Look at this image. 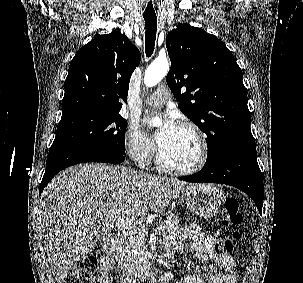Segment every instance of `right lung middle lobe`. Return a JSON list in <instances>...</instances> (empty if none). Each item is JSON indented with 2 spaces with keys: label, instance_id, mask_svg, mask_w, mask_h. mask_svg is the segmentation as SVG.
I'll list each match as a JSON object with an SVG mask.
<instances>
[{
  "label": "right lung middle lobe",
  "instance_id": "dd1d6c3e",
  "mask_svg": "<svg viewBox=\"0 0 303 283\" xmlns=\"http://www.w3.org/2000/svg\"><path fill=\"white\" fill-rule=\"evenodd\" d=\"M127 121L119 114L78 112L62 116L49 151L92 149L125 153Z\"/></svg>",
  "mask_w": 303,
  "mask_h": 283
}]
</instances>
